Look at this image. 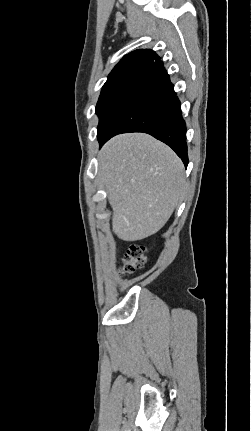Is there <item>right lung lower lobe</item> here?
<instances>
[{
  "label": "right lung lower lobe",
  "instance_id": "98d812e1",
  "mask_svg": "<svg viewBox=\"0 0 251 431\" xmlns=\"http://www.w3.org/2000/svg\"><path fill=\"white\" fill-rule=\"evenodd\" d=\"M127 132L152 135L170 146L187 167L186 124L180 101L158 56L98 136L100 147L111 137Z\"/></svg>",
  "mask_w": 251,
  "mask_h": 431
}]
</instances>
